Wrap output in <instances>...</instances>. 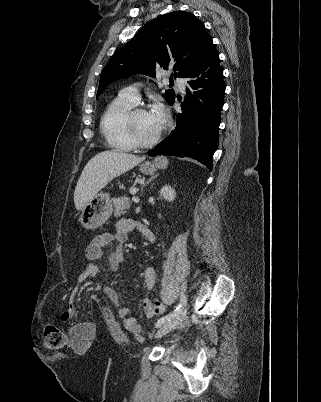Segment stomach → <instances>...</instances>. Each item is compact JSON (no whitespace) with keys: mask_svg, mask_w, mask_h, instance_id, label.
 Here are the masks:
<instances>
[{"mask_svg":"<svg viewBox=\"0 0 321 402\" xmlns=\"http://www.w3.org/2000/svg\"><path fill=\"white\" fill-rule=\"evenodd\" d=\"M167 159L156 157L153 161H146L140 165L143 174H153L156 169L167 166ZM113 204L110 195L107 193L96 194L82 209L80 222L87 229L101 227L111 216Z\"/></svg>","mask_w":321,"mask_h":402,"instance_id":"1","label":"stomach"}]
</instances>
